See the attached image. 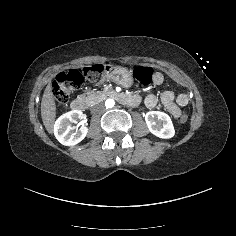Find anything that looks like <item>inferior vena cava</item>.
I'll return each instance as SVG.
<instances>
[{"label":"inferior vena cava","instance_id":"inferior-vena-cava-1","mask_svg":"<svg viewBox=\"0 0 236 236\" xmlns=\"http://www.w3.org/2000/svg\"><path fill=\"white\" fill-rule=\"evenodd\" d=\"M91 110L93 113H102L105 110V106L102 103H99L94 105Z\"/></svg>","mask_w":236,"mask_h":236}]
</instances>
